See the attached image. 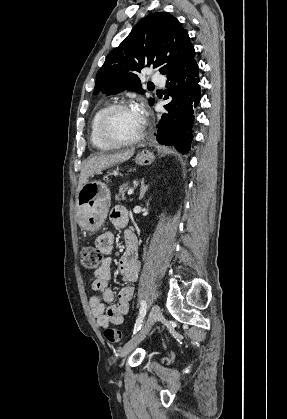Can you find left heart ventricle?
I'll list each match as a JSON object with an SVG mask.
<instances>
[{
    "mask_svg": "<svg viewBox=\"0 0 287 419\" xmlns=\"http://www.w3.org/2000/svg\"><path fill=\"white\" fill-rule=\"evenodd\" d=\"M143 120L133 108H125L115 112L108 124L109 132L120 139H130L140 133Z\"/></svg>",
    "mask_w": 287,
    "mask_h": 419,
    "instance_id": "left-heart-ventricle-1",
    "label": "left heart ventricle"
}]
</instances>
